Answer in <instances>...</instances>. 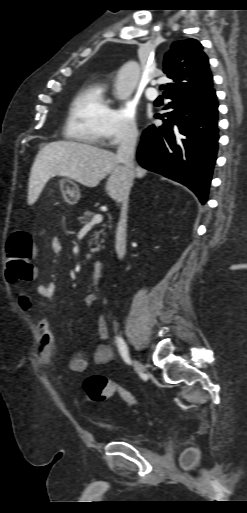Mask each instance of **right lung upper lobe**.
<instances>
[{"instance_id":"obj_1","label":"right lung upper lobe","mask_w":247,"mask_h":513,"mask_svg":"<svg viewBox=\"0 0 247 513\" xmlns=\"http://www.w3.org/2000/svg\"><path fill=\"white\" fill-rule=\"evenodd\" d=\"M163 71L174 81L167 84L164 96L198 94L213 88L208 57L195 39L174 42L165 55Z\"/></svg>"}]
</instances>
